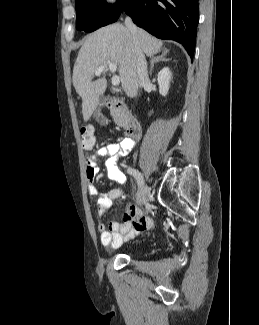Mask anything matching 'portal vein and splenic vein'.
I'll return each mask as SVG.
<instances>
[{"label": "portal vein and splenic vein", "mask_w": 259, "mask_h": 325, "mask_svg": "<svg viewBox=\"0 0 259 325\" xmlns=\"http://www.w3.org/2000/svg\"><path fill=\"white\" fill-rule=\"evenodd\" d=\"M106 68H109V70L112 72V73H115L116 72V69H117V65L113 62H107L106 64L104 65H101L96 71H95V76H100L102 74V72L106 69ZM120 83V77L117 76V75H113L112 77V85L116 86V85H119Z\"/></svg>", "instance_id": "18ae733b"}]
</instances>
